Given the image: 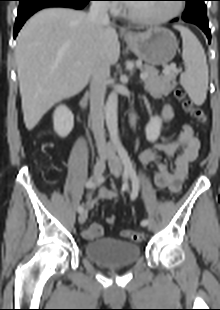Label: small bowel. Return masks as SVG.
I'll return each instance as SVG.
<instances>
[{
    "label": "small bowel",
    "mask_w": 220,
    "mask_h": 310,
    "mask_svg": "<svg viewBox=\"0 0 220 310\" xmlns=\"http://www.w3.org/2000/svg\"><path fill=\"white\" fill-rule=\"evenodd\" d=\"M164 120L173 118L170 105H165L162 110ZM200 142L190 125H184L179 135L170 141L155 144L151 149H145L140 160L142 164H154L156 172L153 177L155 186L176 194L181 190L182 182L187 174L189 164L197 158ZM174 158L173 166H169L162 155ZM117 193L108 188H101L96 200H112ZM96 200L89 199L85 203L87 210L91 209ZM103 235V227L99 223H92L83 230V236L88 240H95Z\"/></svg>",
    "instance_id": "1"
}]
</instances>
